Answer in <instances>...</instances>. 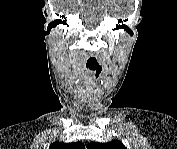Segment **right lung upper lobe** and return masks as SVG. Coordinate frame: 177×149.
<instances>
[{
  "label": "right lung upper lobe",
  "instance_id": "1",
  "mask_svg": "<svg viewBox=\"0 0 177 149\" xmlns=\"http://www.w3.org/2000/svg\"><path fill=\"white\" fill-rule=\"evenodd\" d=\"M85 146L81 142L75 143H63V142H54L50 145V149H84Z\"/></svg>",
  "mask_w": 177,
  "mask_h": 149
}]
</instances>
